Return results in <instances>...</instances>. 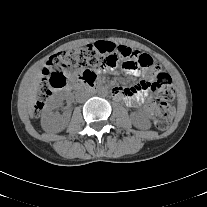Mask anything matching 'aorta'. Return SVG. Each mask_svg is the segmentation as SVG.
<instances>
[{"instance_id":"762f6f07","label":"aorta","mask_w":207,"mask_h":207,"mask_svg":"<svg viewBox=\"0 0 207 207\" xmlns=\"http://www.w3.org/2000/svg\"><path fill=\"white\" fill-rule=\"evenodd\" d=\"M100 93H101L102 95H106V94H107V91H106V90H101Z\"/></svg>"}]
</instances>
